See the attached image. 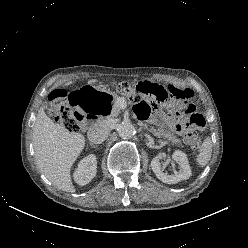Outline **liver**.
Returning a JSON list of instances; mask_svg holds the SVG:
<instances>
[{
  "mask_svg": "<svg viewBox=\"0 0 248 248\" xmlns=\"http://www.w3.org/2000/svg\"><path fill=\"white\" fill-rule=\"evenodd\" d=\"M71 83L69 81L67 85ZM32 141L40 171L59 189L74 192L70 171L84 149V136L54 123L41 107L33 127Z\"/></svg>",
  "mask_w": 248,
  "mask_h": 248,
  "instance_id": "liver-1",
  "label": "liver"
}]
</instances>
